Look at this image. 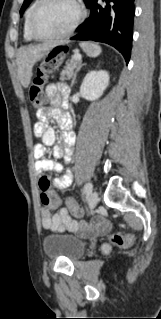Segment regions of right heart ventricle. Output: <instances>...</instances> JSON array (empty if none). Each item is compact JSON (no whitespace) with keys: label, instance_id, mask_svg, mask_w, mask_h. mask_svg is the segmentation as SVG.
Returning a JSON list of instances; mask_svg holds the SVG:
<instances>
[{"label":"right heart ventricle","instance_id":"1","mask_svg":"<svg viewBox=\"0 0 161 319\" xmlns=\"http://www.w3.org/2000/svg\"><path fill=\"white\" fill-rule=\"evenodd\" d=\"M38 3V0H35L30 7L27 9L26 14H25V19H24V27H23V37L26 41H32L33 38L31 37L30 33H29V19H30V15L34 9V7L36 6V4Z\"/></svg>","mask_w":161,"mask_h":319}]
</instances>
